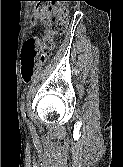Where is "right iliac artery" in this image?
I'll return each instance as SVG.
<instances>
[{"label":"right iliac artery","instance_id":"82829eb1","mask_svg":"<svg viewBox=\"0 0 123 167\" xmlns=\"http://www.w3.org/2000/svg\"><path fill=\"white\" fill-rule=\"evenodd\" d=\"M21 112H22V116L26 117L25 110H24V103H22L21 105Z\"/></svg>","mask_w":123,"mask_h":167}]
</instances>
